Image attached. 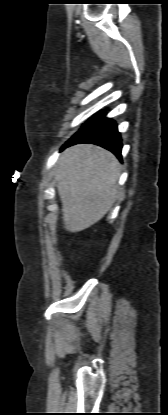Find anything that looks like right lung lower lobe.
<instances>
[{
  "label": "right lung lower lobe",
  "instance_id": "1",
  "mask_svg": "<svg viewBox=\"0 0 168 415\" xmlns=\"http://www.w3.org/2000/svg\"><path fill=\"white\" fill-rule=\"evenodd\" d=\"M105 115V113H99L90 118L65 143L62 149L79 143H91L113 152L121 160L122 142L120 133L116 123L112 119L106 118Z\"/></svg>",
  "mask_w": 168,
  "mask_h": 415
}]
</instances>
